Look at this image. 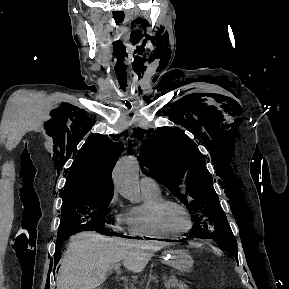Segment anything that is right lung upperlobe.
<instances>
[{"label":"right lung upper lobe","instance_id":"1","mask_svg":"<svg viewBox=\"0 0 289 289\" xmlns=\"http://www.w3.org/2000/svg\"><path fill=\"white\" fill-rule=\"evenodd\" d=\"M123 149L121 142L114 144L107 136L88 138L68 172L61 197L113 193L111 173Z\"/></svg>","mask_w":289,"mask_h":289}]
</instances>
